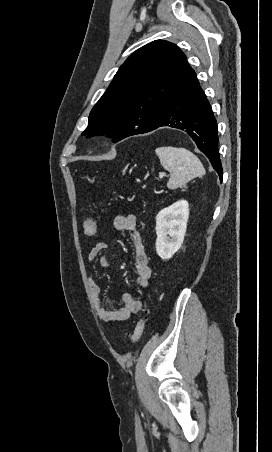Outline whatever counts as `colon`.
Returning a JSON list of instances; mask_svg holds the SVG:
<instances>
[{"label":"colon","instance_id":"obj_1","mask_svg":"<svg viewBox=\"0 0 272 452\" xmlns=\"http://www.w3.org/2000/svg\"><path fill=\"white\" fill-rule=\"evenodd\" d=\"M97 228H98L97 220L94 217H89L84 221L83 229L87 235L92 236V235L96 234ZM148 313H149L148 309H145L143 311L142 317L137 322L134 332L130 336V341L132 343L137 342L144 335L145 322H146Z\"/></svg>","mask_w":272,"mask_h":452}]
</instances>
